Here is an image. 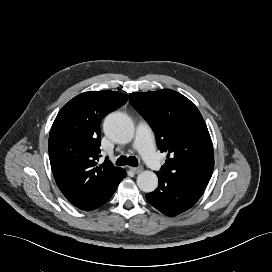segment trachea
<instances>
[{
	"label": "trachea",
	"mask_w": 272,
	"mask_h": 272,
	"mask_svg": "<svg viewBox=\"0 0 272 272\" xmlns=\"http://www.w3.org/2000/svg\"><path fill=\"white\" fill-rule=\"evenodd\" d=\"M117 165L124 166V165H130V166H138V160L135 157H126V156H120L117 161Z\"/></svg>",
	"instance_id": "obj_1"
}]
</instances>
